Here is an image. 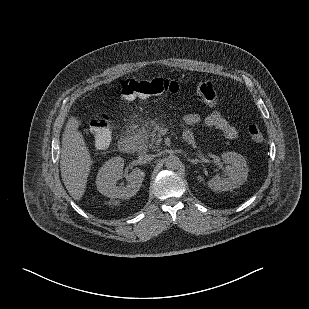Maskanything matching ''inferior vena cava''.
I'll return each mask as SVG.
<instances>
[{
	"label": "inferior vena cava",
	"mask_w": 309,
	"mask_h": 309,
	"mask_svg": "<svg viewBox=\"0 0 309 309\" xmlns=\"http://www.w3.org/2000/svg\"><path fill=\"white\" fill-rule=\"evenodd\" d=\"M154 159V155L152 154H140L138 156V162L140 164H146L151 162Z\"/></svg>",
	"instance_id": "obj_1"
}]
</instances>
